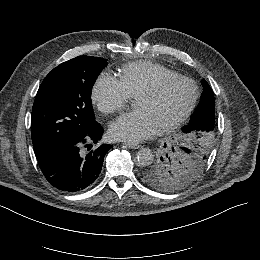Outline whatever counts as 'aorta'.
<instances>
[{
    "instance_id": "1",
    "label": "aorta",
    "mask_w": 260,
    "mask_h": 260,
    "mask_svg": "<svg viewBox=\"0 0 260 260\" xmlns=\"http://www.w3.org/2000/svg\"><path fill=\"white\" fill-rule=\"evenodd\" d=\"M153 154L149 148H141L137 154L136 159L139 165L148 166L153 161Z\"/></svg>"
}]
</instances>
